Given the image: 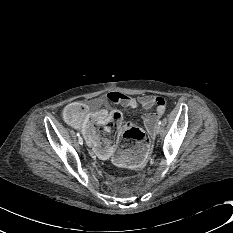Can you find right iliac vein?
<instances>
[{"label":"right iliac vein","instance_id":"right-iliac-vein-1","mask_svg":"<svg viewBox=\"0 0 233 233\" xmlns=\"http://www.w3.org/2000/svg\"><path fill=\"white\" fill-rule=\"evenodd\" d=\"M78 142H79V144L82 145L83 144V139L81 137H79Z\"/></svg>","mask_w":233,"mask_h":233}]
</instances>
